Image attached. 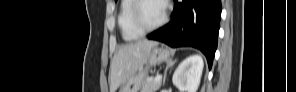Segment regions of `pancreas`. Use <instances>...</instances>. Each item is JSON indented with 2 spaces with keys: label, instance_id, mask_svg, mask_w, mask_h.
<instances>
[{
  "label": "pancreas",
  "instance_id": "obj_1",
  "mask_svg": "<svg viewBox=\"0 0 296 92\" xmlns=\"http://www.w3.org/2000/svg\"><path fill=\"white\" fill-rule=\"evenodd\" d=\"M161 87V81L155 79H145L140 92H156Z\"/></svg>",
  "mask_w": 296,
  "mask_h": 92
}]
</instances>
